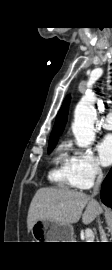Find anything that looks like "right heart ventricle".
Listing matches in <instances>:
<instances>
[{"mask_svg":"<svg viewBox=\"0 0 112 270\" xmlns=\"http://www.w3.org/2000/svg\"><path fill=\"white\" fill-rule=\"evenodd\" d=\"M49 179L60 187H75L71 176L69 157L65 153L59 152L53 158Z\"/></svg>","mask_w":112,"mask_h":270,"instance_id":"e07e8e85","label":"right heart ventricle"}]
</instances>
